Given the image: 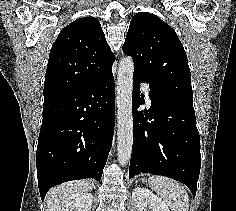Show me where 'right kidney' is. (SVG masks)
Here are the masks:
<instances>
[{
    "instance_id": "ca27d5eb",
    "label": "right kidney",
    "mask_w": 236,
    "mask_h": 211,
    "mask_svg": "<svg viewBox=\"0 0 236 211\" xmlns=\"http://www.w3.org/2000/svg\"><path fill=\"white\" fill-rule=\"evenodd\" d=\"M93 196L91 193L83 194L66 204L62 211H89L92 205Z\"/></svg>"
}]
</instances>
